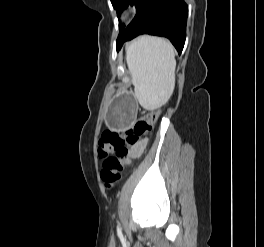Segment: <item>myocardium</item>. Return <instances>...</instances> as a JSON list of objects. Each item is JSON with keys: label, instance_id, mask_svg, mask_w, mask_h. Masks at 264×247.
<instances>
[{"label": "myocardium", "instance_id": "1", "mask_svg": "<svg viewBox=\"0 0 264 247\" xmlns=\"http://www.w3.org/2000/svg\"><path fill=\"white\" fill-rule=\"evenodd\" d=\"M129 15H130V9H125L121 13L120 18H121L122 21H126L128 19V17H129Z\"/></svg>", "mask_w": 264, "mask_h": 247}]
</instances>
